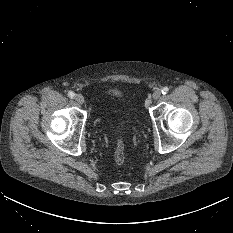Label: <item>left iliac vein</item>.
<instances>
[{
	"label": "left iliac vein",
	"mask_w": 233,
	"mask_h": 233,
	"mask_svg": "<svg viewBox=\"0 0 233 233\" xmlns=\"http://www.w3.org/2000/svg\"><path fill=\"white\" fill-rule=\"evenodd\" d=\"M160 97H161V91H160V90L154 91V93H153V99H154V100H157V99H159Z\"/></svg>",
	"instance_id": "4c4485c4"
}]
</instances>
